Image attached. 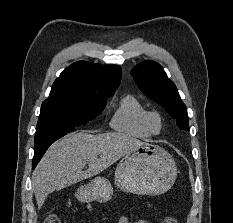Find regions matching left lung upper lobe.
I'll use <instances>...</instances> for the list:
<instances>
[{"label":"left lung upper lobe","mask_w":233,"mask_h":223,"mask_svg":"<svg viewBox=\"0 0 233 223\" xmlns=\"http://www.w3.org/2000/svg\"><path fill=\"white\" fill-rule=\"evenodd\" d=\"M131 75L147 97L164 107L176 119L180 129L190 130L186 106L182 102L176 86L168 79L158 63L144 61L132 69Z\"/></svg>","instance_id":"5c2ea615"}]
</instances>
